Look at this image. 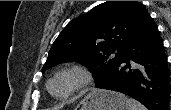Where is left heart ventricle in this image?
Masks as SVG:
<instances>
[{"label": "left heart ventricle", "instance_id": "1", "mask_svg": "<svg viewBox=\"0 0 171 110\" xmlns=\"http://www.w3.org/2000/svg\"><path fill=\"white\" fill-rule=\"evenodd\" d=\"M72 78L70 76H63L55 80L52 84V92L56 95L63 94L70 86Z\"/></svg>", "mask_w": 171, "mask_h": 110}]
</instances>
